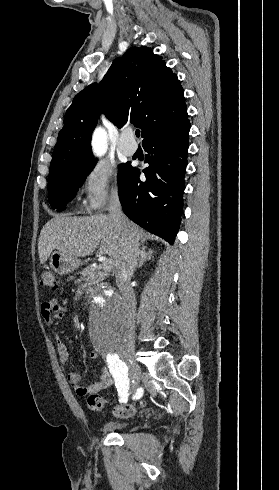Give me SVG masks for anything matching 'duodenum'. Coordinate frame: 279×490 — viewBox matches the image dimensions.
Masks as SVG:
<instances>
[{"label":"duodenum","mask_w":279,"mask_h":490,"mask_svg":"<svg viewBox=\"0 0 279 490\" xmlns=\"http://www.w3.org/2000/svg\"><path fill=\"white\" fill-rule=\"evenodd\" d=\"M93 292H94L93 289H88L86 291V295H85L86 300H88L93 295Z\"/></svg>","instance_id":"duodenum-1"}]
</instances>
